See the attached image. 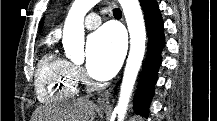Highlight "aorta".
Returning a JSON list of instances; mask_svg holds the SVG:
<instances>
[{"mask_svg": "<svg viewBox=\"0 0 217 121\" xmlns=\"http://www.w3.org/2000/svg\"><path fill=\"white\" fill-rule=\"evenodd\" d=\"M99 0H74L67 15L62 43L66 56L73 61L84 58V17ZM126 18L130 34V51L124 70L118 104V121H123L140 70L146 42V31L138 0H118Z\"/></svg>", "mask_w": 217, "mask_h": 121, "instance_id": "1", "label": "aorta"}]
</instances>
